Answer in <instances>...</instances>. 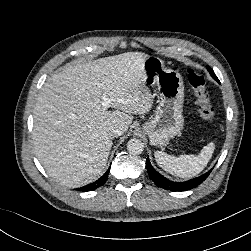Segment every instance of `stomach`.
I'll return each instance as SVG.
<instances>
[{
    "instance_id": "obj_1",
    "label": "stomach",
    "mask_w": 251,
    "mask_h": 251,
    "mask_svg": "<svg viewBox=\"0 0 251 251\" xmlns=\"http://www.w3.org/2000/svg\"><path fill=\"white\" fill-rule=\"evenodd\" d=\"M143 71L145 84L157 87L160 100L155 115L143 124L142 129L152 145L164 146L183 129V79L180 73L167 69L163 61L155 56L144 60Z\"/></svg>"
}]
</instances>
